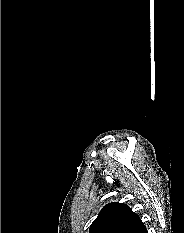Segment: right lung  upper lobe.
<instances>
[{
  "label": "right lung upper lobe",
  "instance_id": "obj_1",
  "mask_svg": "<svg viewBox=\"0 0 184 233\" xmlns=\"http://www.w3.org/2000/svg\"><path fill=\"white\" fill-rule=\"evenodd\" d=\"M143 225L126 204L112 202L102 208L89 233H137Z\"/></svg>",
  "mask_w": 184,
  "mask_h": 233
}]
</instances>
